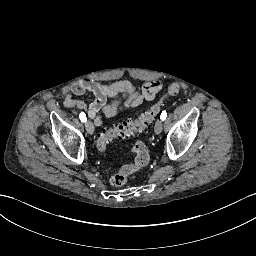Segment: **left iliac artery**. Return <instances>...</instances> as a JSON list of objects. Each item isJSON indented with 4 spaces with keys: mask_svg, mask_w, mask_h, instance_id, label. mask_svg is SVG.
Returning a JSON list of instances; mask_svg holds the SVG:
<instances>
[{
    "mask_svg": "<svg viewBox=\"0 0 256 256\" xmlns=\"http://www.w3.org/2000/svg\"><path fill=\"white\" fill-rule=\"evenodd\" d=\"M166 117H167L166 111H162L161 116H160V119H161L162 121H164V120L166 119Z\"/></svg>",
    "mask_w": 256,
    "mask_h": 256,
    "instance_id": "1",
    "label": "left iliac artery"
}]
</instances>
